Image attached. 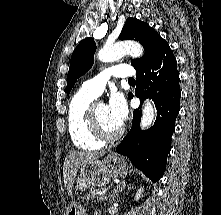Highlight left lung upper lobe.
Returning a JSON list of instances; mask_svg holds the SVG:
<instances>
[{
    "label": "left lung upper lobe",
    "instance_id": "1",
    "mask_svg": "<svg viewBox=\"0 0 221 215\" xmlns=\"http://www.w3.org/2000/svg\"><path fill=\"white\" fill-rule=\"evenodd\" d=\"M120 40H135L140 42L145 50L140 59L131 60L136 71L146 67L157 52L167 42L147 23L135 18H128L119 35ZM96 43L93 38L82 40L72 53L67 77V94L70 93L77 79L85 74L93 65ZM131 93L128 94L130 96Z\"/></svg>",
    "mask_w": 221,
    "mask_h": 215
}]
</instances>
